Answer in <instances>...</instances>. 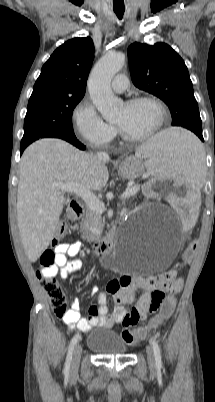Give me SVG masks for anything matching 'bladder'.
Instances as JSON below:
<instances>
[{"label":"bladder","mask_w":215,"mask_h":402,"mask_svg":"<svg viewBox=\"0 0 215 402\" xmlns=\"http://www.w3.org/2000/svg\"><path fill=\"white\" fill-rule=\"evenodd\" d=\"M87 347L101 355H122L127 351L123 339L113 330L94 329L87 337Z\"/></svg>","instance_id":"1"}]
</instances>
